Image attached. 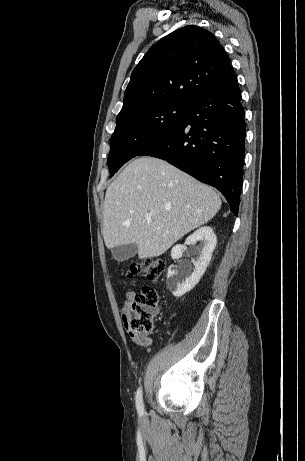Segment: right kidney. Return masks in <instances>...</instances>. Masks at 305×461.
<instances>
[{"label": "right kidney", "instance_id": "right-kidney-1", "mask_svg": "<svg viewBox=\"0 0 305 461\" xmlns=\"http://www.w3.org/2000/svg\"><path fill=\"white\" fill-rule=\"evenodd\" d=\"M197 241H202L204 246L201 250L199 258L194 263L193 272H190L189 269H186L184 272L186 277L184 280H181V278L177 275V272L172 267H169L168 269L166 284L167 288L175 297L183 296L185 293L191 291L199 282L211 260L212 253L216 247L217 238L211 227L204 226L188 236L185 245H192ZM185 245L179 244L172 248V259L175 260L182 257Z\"/></svg>", "mask_w": 305, "mask_h": 461}]
</instances>
